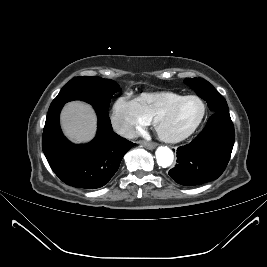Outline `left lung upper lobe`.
Instances as JSON below:
<instances>
[{"mask_svg":"<svg viewBox=\"0 0 267 267\" xmlns=\"http://www.w3.org/2000/svg\"><path fill=\"white\" fill-rule=\"evenodd\" d=\"M199 97L206 100L208 107L214 111H229L225 99L215 90L212 84L202 78H186L184 80Z\"/></svg>","mask_w":267,"mask_h":267,"instance_id":"obj_1","label":"left lung upper lobe"}]
</instances>
